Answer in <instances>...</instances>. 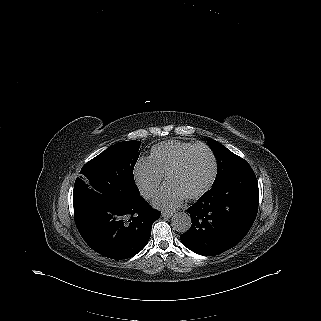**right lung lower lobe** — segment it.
I'll return each instance as SVG.
<instances>
[{
    "label": "right lung lower lobe",
    "instance_id": "obj_1",
    "mask_svg": "<svg viewBox=\"0 0 321 321\" xmlns=\"http://www.w3.org/2000/svg\"><path fill=\"white\" fill-rule=\"evenodd\" d=\"M75 223L85 242L111 259L136 255L147 244L160 212L141 196L129 201L105 199L74 205Z\"/></svg>",
    "mask_w": 321,
    "mask_h": 321
}]
</instances>
